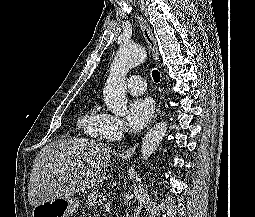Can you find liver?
<instances>
[{
    "mask_svg": "<svg viewBox=\"0 0 255 217\" xmlns=\"http://www.w3.org/2000/svg\"><path fill=\"white\" fill-rule=\"evenodd\" d=\"M113 149L86 138L59 140L44 146L33 163L28 200L38 206L108 180Z\"/></svg>",
    "mask_w": 255,
    "mask_h": 217,
    "instance_id": "1",
    "label": "liver"
}]
</instances>
